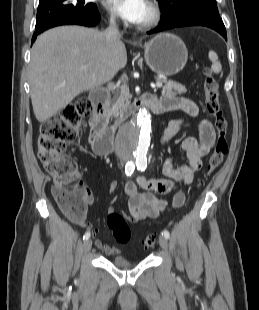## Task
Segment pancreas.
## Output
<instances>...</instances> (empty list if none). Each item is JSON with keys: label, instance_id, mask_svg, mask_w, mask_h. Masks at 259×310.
I'll return each instance as SVG.
<instances>
[{"label": "pancreas", "instance_id": "pancreas-1", "mask_svg": "<svg viewBox=\"0 0 259 310\" xmlns=\"http://www.w3.org/2000/svg\"><path fill=\"white\" fill-rule=\"evenodd\" d=\"M157 81H162L164 86L162 88V96L176 97L178 94H183L187 91L186 87L174 81L162 80L156 78ZM131 101L129 90L125 87L121 88L120 95L115 99L109 108V114L115 118L125 119L128 117V107Z\"/></svg>", "mask_w": 259, "mask_h": 310}]
</instances>
